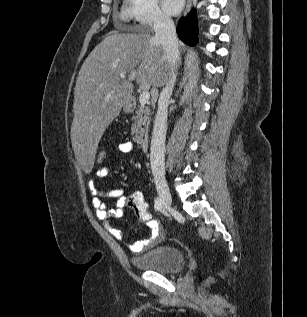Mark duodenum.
Wrapping results in <instances>:
<instances>
[{
  "label": "duodenum",
  "mask_w": 307,
  "mask_h": 317,
  "mask_svg": "<svg viewBox=\"0 0 307 317\" xmlns=\"http://www.w3.org/2000/svg\"><path fill=\"white\" fill-rule=\"evenodd\" d=\"M133 102L131 101L130 102V105H132ZM140 146L143 150H147L148 147H149V138L147 136H143L141 139H140Z\"/></svg>",
  "instance_id": "duodenum-1"
}]
</instances>
